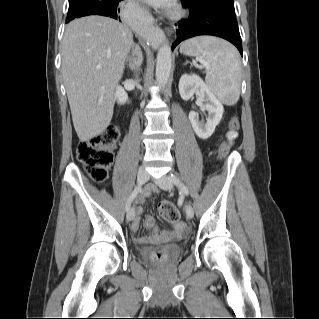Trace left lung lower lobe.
I'll return each mask as SVG.
<instances>
[{
    "mask_svg": "<svg viewBox=\"0 0 319 319\" xmlns=\"http://www.w3.org/2000/svg\"><path fill=\"white\" fill-rule=\"evenodd\" d=\"M184 6V5H183ZM190 16L178 22L177 39L172 50L183 40L199 35H213L224 38L235 45L242 55V43L235 16L207 9L189 6Z\"/></svg>",
    "mask_w": 319,
    "mask_h": 319,
    "instance_id": "1",
    "label": "left lung lower lobe"
}]
</instances>
